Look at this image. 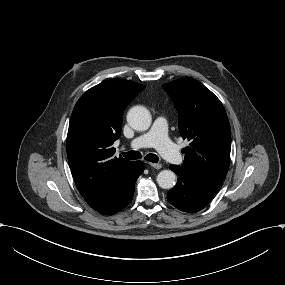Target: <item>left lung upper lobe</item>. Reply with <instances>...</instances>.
<instances>
[{"label": "left lung upper lobe", "instance_id": "obj_1", "mask_svg": "<svg viewBox=\"0 0 285 285\" xmlns=\"http://www.w3.org/2000/svg\"><path fill=\"white\" fill-rule=\"evenodd\" d=\"M178 111V127L184 149L182 171L218 188L230 163L231 130L219 99L200 82L184 78L162 85Z\"/></svg>", "mask_w": 285, "mask_h": 285}]
</instances>
